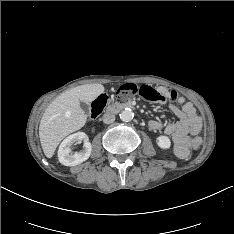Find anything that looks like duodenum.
<instances>
[{"instance_id":"duodenum-1","label":"duodenum","mask_w":234,"mask_h":234,"mask_svg":"<svg viewBox=\"0 0 234 234\" xmlns=\"http://www.w3.org/2000/svg\"><path fill=\"white\" fill-rule=\"evenodd\" d=\"M135 104L132 101H125V102H115L110 105L107 109L109 113L116 114L124 109L134 108Z\"/></svg>"}]
</instances>
